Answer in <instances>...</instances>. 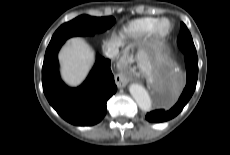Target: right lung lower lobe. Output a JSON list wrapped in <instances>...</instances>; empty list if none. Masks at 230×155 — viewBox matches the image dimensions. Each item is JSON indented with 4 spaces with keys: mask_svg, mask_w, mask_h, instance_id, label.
I'll return each mask as SVG.
<instances>
[{
    "mask_svg": "<svg viewBox=\"0 0 230 155\" xmlns=\"http://www.w3.org/2000/svg\"><path fill=\"white\" fill-rule=\"evenodd\" d=\"M63 43L47 47L42 67L44 94L67 122L77 126L97 124L107 112V100L117 91L110 69L111 61L97 56L85 82L78 88H69L60 79L58 71L57 55Z\"/></svg>",
    "mask_w": 230,
    "mask_h": 155,
    "instance_id": "right-lung-lower-lobe-1",
    "label": "right lung lower lobe"
}]
</instances>
